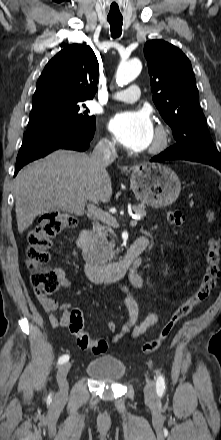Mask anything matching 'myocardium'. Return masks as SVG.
I'll return each instance as SVG.
<instances>
[{
  "mask_svg": "<svg viewBox=\"0 0 221 440\" xmlns=\"http://www.w3.org/2000/svg\"><path fill=\"white\" fill-rule=\"evenodd\" d=\"M154 133V142L147 150L149 154H159L163 152L168 147L171 140V132L165 123H158L155 127Z\"/></svg>",
  "mask_w": 221,
  "mask_h": 440,
  "instance_id": "1",
  "label": "myocardium"
}]
</instances>
